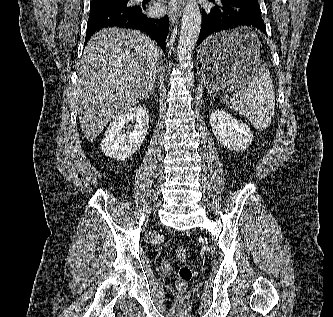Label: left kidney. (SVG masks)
<instances>
[{
  "mask_svg": "<svg viewBox=\"0 0 333 317\" xmlns=\"http://www.w3.org/2000/svg\"><path fill=\"white\" fill-rule=\"evenodd\" d=\"M210 124L217 140L229 150H244L253 141L248 126L223 109L211 112Z\"/></svg>",
  "mask_w": 333,
  "mask_h": 317,
  "instance_id": "5707ae66",
  "label": "left kidney"
}]
</instances>
